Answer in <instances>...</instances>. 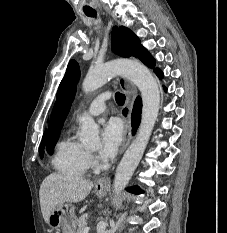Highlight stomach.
<instances>
[{
  "instance_id": "stomach-1",
  "label": "stomach",
  "mask_w": 227,
  "mask_h": 233,
  "mask_svg": "<svg viewBox=\"0 0 227 233\" xmlns=\"http://www.w3.org/2000/svg\"><path fill=\"white\" fill-rule=\"evenodd\" d=\"M106 192V187H95V193L98 197H103ZM49 225L53 229L60 228L63 233H75L77 217L74 212V206L66 203L61 208L56 209L49 217Z\"/></svg>"
}]
</instances>
